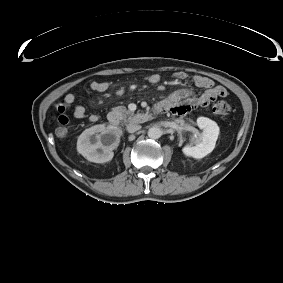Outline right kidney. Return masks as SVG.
I'll return each instance as SVG.
<instances>
[{
  "mask_svg": "<svg viewBox=\"0 0 283 283\" xmlns=\"http://www.w3.org/2000/svg\"><path fill=\"white\" fill-rule=\"evenodd\" d=\"M119 142L120 132L115 127L99 124L81 133L77 151L90 162L105 163L112 160Z\"/></svg>",
  "mask_w": 283,
  "mask_h": 283,
  "instance_id": "obj_1",
  "label": "right kidney"
}]
</instances>
